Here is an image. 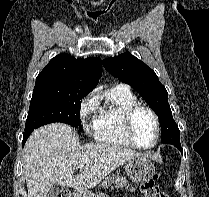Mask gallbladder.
<instances>
[{"mask_svg":"<svg viewBox=\"0 0 209 197\" xmlns=\"http://www.w3.org/2000/svg\"><path fill=\"white\" fill-rule=\"evenodd\" d=\"M60 192H61V188L59 186H53L49 190L47 197H58Z\"/></svg>","mask_w":209,"mask_h":197,"instance_id":"1","label":"gallbladder"}]
</instances>
